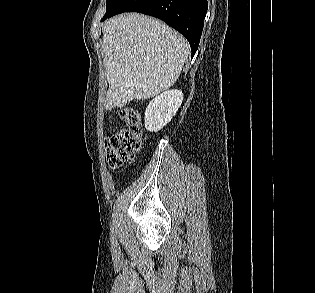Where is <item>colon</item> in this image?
I'll return each mask as SVG.
<instances>
[{"instance_id": "1", "label": "colon", "mask_w": 315, "mask_h": 293, "mask_svg": "<svg viewBox=\"0 0 315 293\" xmlns=\"http://www.w3.org/2000/svg\"><path fill=\"white\" fill-rule=\"evenodd\" d=\"M117 117L126 125V128L106 140L107 160L113 169L133 160L141 151L144 141L139 110L126 107L117 112Z\"/></svg>"}]
</instances>
